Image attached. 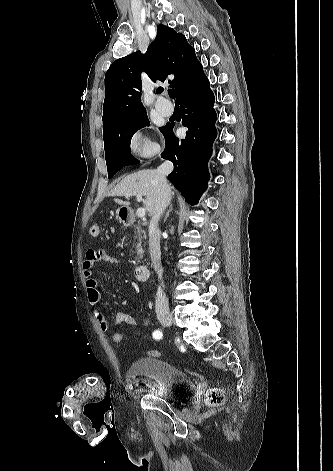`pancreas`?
<instances>
[{"instance_id":"1","label":"pancreas","mask_w":333,"mask_h":471,"mask_svg":"<svg viewBox=\"0 0 333 471\" xmlns=\"http://www.w3.org/2000/svg\"><path fill=\"white\" fill-rule=\"evenodd\" d=\"M136 230L134 231V239H138V243L136 245V250L138 252L142 251V243H143V230L140 226H135Z\"/></svg>"}]
</instances>
